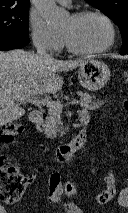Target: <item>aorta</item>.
I'll return each instance as SVG.
<instances>
[{"label":"aorta","instance_id":"obj_1","mask_svg":"<svg viewBox=\"0 0 128 213\" xmlns=\"http://www.w3.org/2000/svg\"><path fill=\"white\" fill-rule=\"evenodd\" d=\"M34 4L40 11L42 17L48 25L57 27L63 24L67 17V13L57 7L55 0H33Z\"/></svg>","mask_w":128,"mask_h":213}]
</instances>
